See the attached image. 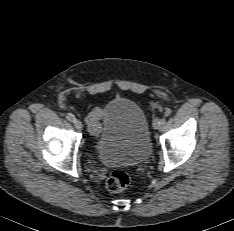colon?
<instances>
[{
  "label": "colon",
  "mask_w": 234,
  "mask_h": 231,
  "mask_svg": "<svg viewBox=\"0 0 234 231\" xmlns=\"http://www.w3.org/2000/svg\"><path fill=\"white\" fill-rule=\"evenodd\" d=\"M129 184L130 176L123 170L111 171L106 180V187L111 192L123 191Z\"/></svg>",
  "instance_id": "1"
}]
</instances>
